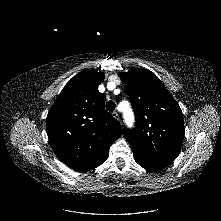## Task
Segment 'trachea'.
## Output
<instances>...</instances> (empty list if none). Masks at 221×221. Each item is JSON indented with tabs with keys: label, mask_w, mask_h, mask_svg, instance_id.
Listing matches in <instances>:
<instances>
[{
	"label": "trachea",
	"mask_w": 221,
	"mask_h": 221,
	"mask_svg": "<svg viewBox=\"0 0 221 221\" xmlns=\"http://www.w3.org/2000/svg\"><path fill=\"white\" fill-rule=\"evenodd\" d=\"M115 107H116V105H115V103L113 101H108L106 103V109L109 112H113L115 110Z\"/></svg>",
	"instance_id": "3493384b"
}]
</instances>
